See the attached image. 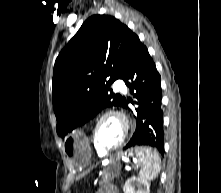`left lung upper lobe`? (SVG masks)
Here are the masks:
<instances>
[{
  "label": "left lung upper lobe",
  "instance_id": "obj_1",
  "mask_svg": "<svg viewBox=\"0 0 221 193\" xmlns=\"http://www.w3.org/2000/svg\"><path fill=\"white\" fill-rule=\"evenodd\" d=\"M138 36L109 15L88 18L60 52L53 72L56 130L64 137L108 106L125 107L126 98L110 85L122 79L140 44Z\"/></svg>",
  "mask_w": 221,
  "mask_h": 193
}]
</instances>
